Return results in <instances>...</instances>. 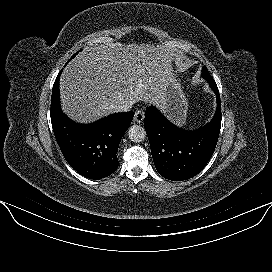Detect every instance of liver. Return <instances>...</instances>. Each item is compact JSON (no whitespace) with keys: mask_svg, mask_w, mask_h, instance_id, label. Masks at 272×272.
<instances>
[{"mask_svg":"<svg viewBox=\"0 0 272 272\" xmlns=\"http://www.w3.org/2000/svg\"><path fill=\"white\" fill-rule=\"evenodd\" d=\"M172 53L150 44L110 43L76 56L60 77L63 111L90 123L113 113L123 101L162 107Z\"/></svg>","mask_w":272,"mask_h":272,"instance_id":"1","label":"liver"}]
</instances>
